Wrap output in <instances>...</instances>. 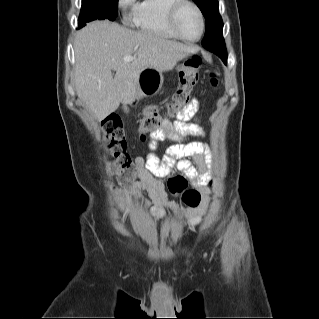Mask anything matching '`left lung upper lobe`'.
<instances>
[{"mask_svg": "<svg viewBox=\"0 0 319 319\" xmlns=\"http://www.w3.org/2000/svg\"><path fill=\"white\" fill-rule=\"evenodd\" d=\"M206 19L205 36L202 45L218 55L227 64V52L223 38V21L219 14L218 0H193Z\"/></svg>", "mask_w": 319, "mask_h": 319, "instance_id": "1", "label": "left lung upper lobe"}]
</instances>
